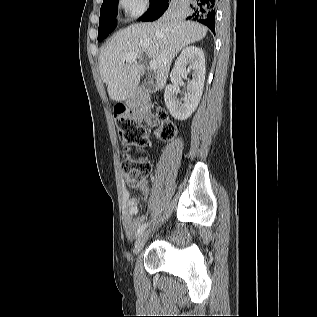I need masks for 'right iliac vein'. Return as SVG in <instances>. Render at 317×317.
Wrapping results in <instances>:
<instances>
[{"instance_id": "1", "label": "right iliac vein", "mask_w": 317, "mask_h": 317, "mask_svg": "<svg viewBox=\"0 0 317 317\" xmlns=\"http://www.w3.org/2000/svg\"><path fill=\"white\" fill-rule=\"evenodd\" d=\"M149 232L150 231L147 230V231L141 233V235L136 240L135 245H134V250H133L135 254H139L140 251L143 249L145 242L148 239Z\"/></svg>"}]
</instances>
